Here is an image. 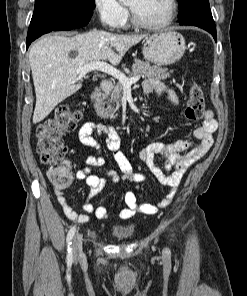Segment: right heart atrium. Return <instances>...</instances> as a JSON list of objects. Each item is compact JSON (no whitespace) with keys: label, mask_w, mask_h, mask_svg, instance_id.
Listing matches in <instances>:
<instances>
[{"label":"right heart atrium","mask_w":247,"mask_h":296,"mask_svg":"<svg viewBox=\"0 0 247 296\" xmlns=\"http://www.w3.org/2000/svg\"><path fill=\"white\" fill-rule=\"evenodd\" d=\"M93 4L99 20L104 25L118 28L125 23L128 11L119 0H93Z\"/></svg>","instance_id":"obj_1"}]
</instances>
